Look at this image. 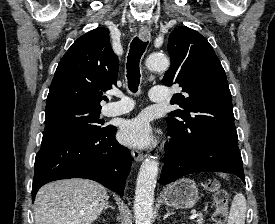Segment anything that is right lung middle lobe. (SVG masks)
Instances as JSON below:
<instances>
[{"mask_svg": "<svg viewBox=\"0 0 275 224\" xmlns=\"http://www.w3.org/2000/svg\"><path fill=\"white\" fill-rule=\"evenodd\" d=\"M101 108L63 107L45 115L46 132L60 131L82 135L101 134L108 127L99 120Z\"/></svg>", "mask_w": 275, "mask_h": 224, "instance_id": "right-lung-middle-lobe-1", "label": "right lung middle lobe"}]
</instances>
